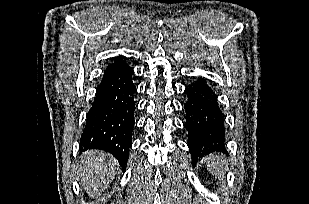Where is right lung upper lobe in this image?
I'll use <instances>...</instances> for the list:
<instances>
[{
    "label": "right lung upper lobe",
    "mask_w": 309,
    "mask_h": 204,
    "mask_svg": "<svg viewBox=\"0 0 309 204\" xmlns=\"http://www.w3.org/2000/svg\"><path fill=\"white\" fill-rule=\"evenodd\" d=\"M123 58L124 57H122V56L117 57L116 61L114 63H112L111 65H109L105 69V72L108 71V70L115 69V68H118V67L126 65V63L123 61Z\"/></svg>",
    "instance_id": "obj_1"
}]
</instances>
